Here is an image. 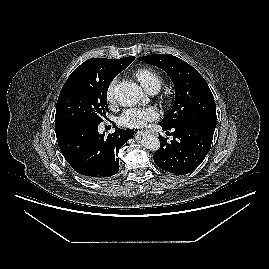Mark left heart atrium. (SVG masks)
Masks as SVG:
<instances>
[{
    "instance_id": "left-heart-atrium-1",
    "label": "left heart atrium",
    "mask_w": 269,
    "mask_h": 269,
    "mask_svg": "<svg viewBox=\"0 0 269 269\" xmlns=\"http://www.w3.org/2000/svg\"><path fill=\"white\" fill-rule=\"evenodd\" d=\"M158 116L157 109L152 106L131 107L120 115L119 124L129 128H140L148 122L156 120Z\"/></svg>"
}]
</instances>
